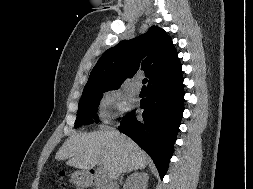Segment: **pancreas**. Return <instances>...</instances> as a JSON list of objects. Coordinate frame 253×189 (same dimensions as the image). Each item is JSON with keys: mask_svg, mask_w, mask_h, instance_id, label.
Returning <instances> with one entry per match:
<instances>
[{"mask_svg": "<svg viewBox=\"0 0 253 189\" xmlns=\"http://www.w3.org/2000/svg\"><path fill=\"white\" fill-rule=\"evenodd\" d=\"M96 189H101V187H97Z\"/></svg>", "mask_w": 253, "mask_h": 189, "instance_id": "pancreas-1", "label": "pancreas"}]
</instances>
